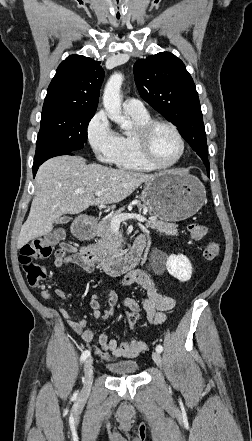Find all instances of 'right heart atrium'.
Instances as JSON below:
<instances>
[{
	"label": "right heart atrium",
	"instance_id": "1",
	"mask_svg": "<svg viewBox=\"0 0 252 441\" xmlns=\"http://www.w3.org/2000/svg\"><path fill=\"white\" fill-rule=\"evenodd\" d=\"M86 137L95 157L105 163H115L119 150V134L113 129L106 113L98 111L86 127Z\"/></svg>",
	"mask_w": 252,
	"mask_h": 441
}]
</instances>
